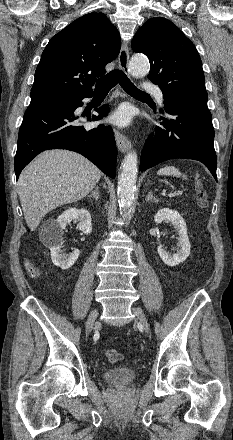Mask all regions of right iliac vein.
Wrapping results in <instances>:
<instances>
[{
	"label": "right iliac vein",
	"instance_id": "right-iliac-vein-1",
	"mask_svg": "<svg viewBox=\"0 0 233 440\" xmlns=\"http://www.w3.org/2000/svg\"><path fill=\"white\" fill-rule=\"evenodd\" d=\"M97 317H98V310L95 309L90 313L87 322L85 324V330L87 334L91 332L93 325L97 320Z\"/></svg>",
	"mask_w": 233,
	"mask_h": 440
}]
</instances>
